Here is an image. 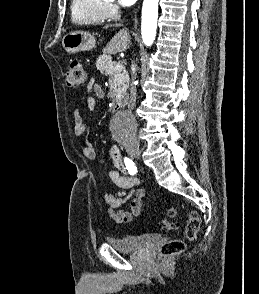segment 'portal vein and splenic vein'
<instances>
[{
    "label": "portal vein and splenic vein",
    "mask_w": 259,
    "mask_h": 294,
    "mask_svg": "<svg viewBox=\"0 0 259 294\" xmlns=\"http://www.w3.org/2000/svg\"><path fill=\"white\" fill-rule=\"evenodd\" d=\"M122 69H123V65H122V63L118 62V63L116 64V66H115V70H116V71H122Z\"/></svg>",
    "instance_id": "18ae733b"
}]
</instances>
